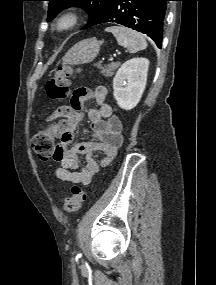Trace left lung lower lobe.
<instances>
[{
  "mask_svg": "<svg viewBox=\"0 0 216 285\" xmlns=\"http://www.w3.org/2000/svg\"><path fill=\"white\" fill-rule=\"evenodd\" d=\"M169 0H113L94 23H118L147 34L161 48L166 2Z\"/></svg>",
  "mask_w": 216,
  "mask_h": 285,
  "instance_id": "obj_1",
  "label": "left lung lower lobe"
}]
</instances>
